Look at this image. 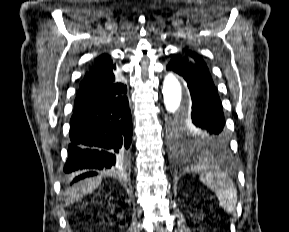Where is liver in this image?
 I'll return each instance as SVG.
<instances>
[{
  "instance_id": "liver-1",
  "label": "liver",
  "mask_w": 289,
  "mask_h": 232,
  "mask_svg": "<svg viewBox=\"0 0 289 232\" xmlns=\"http://www.w3.org/2000/svg\"><path fill=\"white\" fill-rule=\"evenodd\" d=\"M102 181V177H93L84 179L75 185H73L70 190L66 193L67 203H72L73 201L91 193L93 190L98 188Z\"/></svg>"
}]
</instances>
